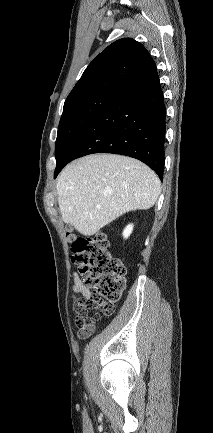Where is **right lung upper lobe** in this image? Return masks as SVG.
<instances>
[{"label":"right lung upper lobe","mask_w":213,"mask_h":433,"mask_svg":"<svg viewBox=\"0 0 213 433\" xmlns=\"http://www.w3.org/2000/svg\"><path fill=\"white\" fill-rule=\"evenodd\" d=\"M154 67L141 43L131 38L117 40L88 65L65 103L102 92L123 93Z\"/></svg>","instance_id":"obj_1"}]
</instances>
